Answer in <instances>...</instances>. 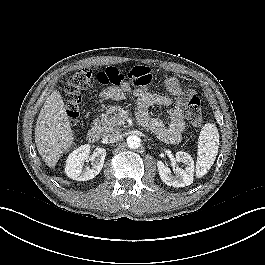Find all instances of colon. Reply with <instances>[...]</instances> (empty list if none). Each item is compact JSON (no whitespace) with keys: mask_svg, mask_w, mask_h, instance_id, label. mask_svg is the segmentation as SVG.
<instances>
[{"mask_svg":"<svg viewBox=\"0 0 265 265\" xmlns=\"http://www.w3.org/2000/svg\"><path fill=\"white\" fill-rule=\"evenodd\" d=\"M127 78L134 80L139 84H143L147 81L135 76L131 72H129L128 75H125L115 67H109L105 71H94L92 69L84 68L73 74L68 79L64 89L67 114L73 128L76 130L77 127L82 94L93 82L96 81L101 84L119 86L123 84ZM186 118L193 127H200L203 123L201 101L196 94L191 95L189 98L186 107Z\"/></svg>","mask_w":265,"mask_h":265,"instance_id":"5ec220e1","label":"colon"}]
</instances>
